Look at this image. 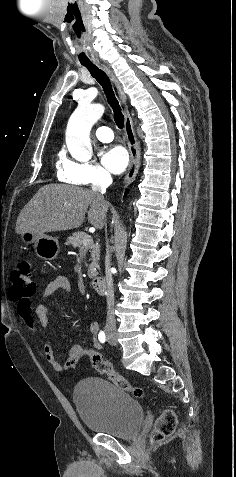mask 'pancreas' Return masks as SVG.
I'll use <instances>...</instances> for the list:
<instances>
[{
	"instance_id": "cf45deb5",
	"label": "pancreas",
	"mask_w": 236,
	"mask_h": 477,
	"mask_svg": "<svg viewBox=\"0 0 236 477\" xmlns=\"http://www.w3.org/2000/svg\"><path fill=\"white\" fill-rule=\"evenodd\" d=\"M85 238H90L92 239L88 234L85 232H77L74 233L71 237L67 239L66 245H72L73 247H78L80 248V251L82 254H86L88 250H91V258H92V263L89 266L88 269V276L90 278H94L97 276L98 272L97 269L99 268L98 265V260H99V247L91 242L87 246H83L82 242Z\"/></svg>"
}]
</instances>
